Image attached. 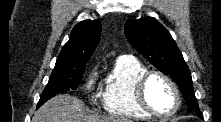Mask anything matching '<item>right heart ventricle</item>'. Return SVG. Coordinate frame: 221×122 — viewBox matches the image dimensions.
I'll list each match as a JSON object with an SVG mask.
<instances>
[{
    "mask_svg": "<svg viewBox=\"0 0 221 122\" xmlns=\"http://www.w3.org/2000/svg\"><path fill=\"white\" fill-rule=\"evenodd\" d=\"M147 72V68L138 60L119 57L105 80L103 104L111 115L133 119H147L146 113L137 103L135 83Z\"/></svg>",
    "mask_w": 221,
    "mask_h": 122,
    "instance_id": "right-heart-ventricle-1",
    "label": "right heart ventricle"
}]
</instances>
